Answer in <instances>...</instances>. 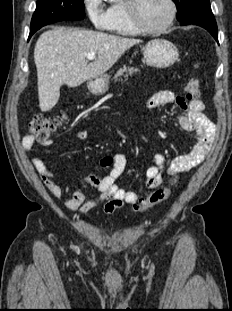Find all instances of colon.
<instances>
[{
	"label": "colon",
	"instance_id": "5ec220e1",
	"mask_svg": "<svg viewBox=\"0 0 232 311\" xmlns=\"http://www.w3.org/2000/svg\"><path fill=\"white\" fill-rule=\"evenodd\" d=\"M186 99L188 101H196L200 98L199 82L196 78H190L185 87ZM65 113H61L56 117H46L44 115H36L29 122L28 130L30 134L35 135L40 139L50 136L61 124ZM172 192V188L161 187L152 192L145 199L135 203V209L137 211H147L162 202L166 201Z\"/></svg>",
	"mask_w": 232,
	"mask_h": 311
}]
</instances>
